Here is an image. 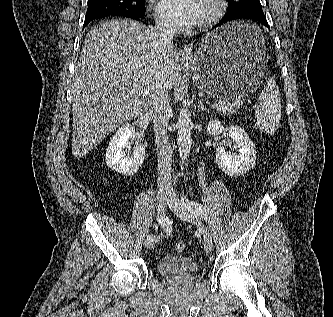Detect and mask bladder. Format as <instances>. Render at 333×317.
Wrapping results in <instances>:
<instances>
[{
  "mask_svg": "<svg viewBox=\"0 0 333 317\" xmlns=\"http://www.w3.org/2000/svg\"><path fill=\"white\" fill-rule=\"evenodd\" d=\"M156 269L162 276L176 277L194 274L198 270L197 263L188 256L166 255L156 262Z\"/></svg>",
  "mask_w": 333,
  "mask_h": 317,
  "instance_id": "1",
  "label": "bladder"
}]
</instances>
